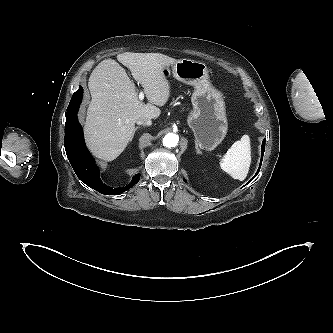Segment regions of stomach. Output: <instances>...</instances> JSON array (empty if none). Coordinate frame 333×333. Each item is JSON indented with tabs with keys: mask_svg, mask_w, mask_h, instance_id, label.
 <instances>
[{
	"mask_svg": "<svg viewBox=\"0 0 333 333\" xmlns=\"http://www.w3.org/2000/svg\"><path fill=\"white\" fill-rule=\"evenodd\" d=\"M169 73V66L162 68L165 77ZM172 73L177 80L194 87L191 97L193 110L187 122L197 145L207 151L214 150L226 136L228 123L225 102L221 92L211 84L207 66L184 58L172 65Z\"/></svg>",
	"mask_w": 333,
	"mask_h": 333,
	"instance_id": "0dacf381",
	"label": "stomach"
}]
</instances>
